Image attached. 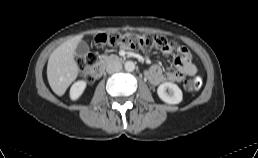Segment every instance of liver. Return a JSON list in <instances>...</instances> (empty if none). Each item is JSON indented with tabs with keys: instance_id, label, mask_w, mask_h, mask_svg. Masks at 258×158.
Wrapping results in <instances>:
<instances>
[{
	"instance_id": "6515ba94",
	"label": "liver",
	"mask_w": 258,
	"mask_h": 158,
	"mask_svg": "<svg viewBox=\"0 0 258 158\" xmlns=\"http://www.w3.org/2000/svg\"><path fill=\"white\" fill-rule=\"evenodd\" d=\"M83 35H77L58 46L50 55L47 78L53 92L62 96L77 78L78 66L74 52Z\"/></svg>"
}]
</instances>
